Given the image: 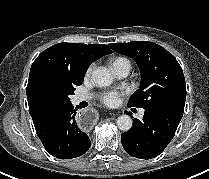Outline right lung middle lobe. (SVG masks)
<instances>
[{
    "label": "right lung middle lobe",
    "mask_w": 209,
    "mask_h": 179,
    "mask_svg": "<svg viewBox=\"0 0 209 179\" xmlns=\"http://www.w3.org/2000/svg\"><path fill=\"white\" fill-rule=\"evenodd\" d=\"M82 83L83 79L74 84L55 81L41 82L36 91V103L41 115L46 116L54 110L71 103L69 96L74 94V87Z\"/></svg>",
    "instance_id": "obj_1"
}]
</instances>
